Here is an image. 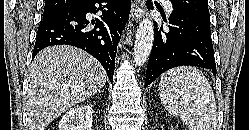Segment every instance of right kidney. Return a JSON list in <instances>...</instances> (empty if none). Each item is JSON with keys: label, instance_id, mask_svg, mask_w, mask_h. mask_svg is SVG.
I'll return each mask as SVG.
<instances>
[{"label": "right kidney", "instance_id": "right-kidney-1", "mask_svg": "<svg viewBox=\"0 0 249 130\" xmlns=\"http://www.w3.org/2000/svg\"><path fill=\"white\" fill-rule=\"evenodd\" d=\"M92 122V107L82 105L66 112L59 122V130H91Z\"/></svg>", "mask_w": 249, "mask_h": 130}]
</instances>
